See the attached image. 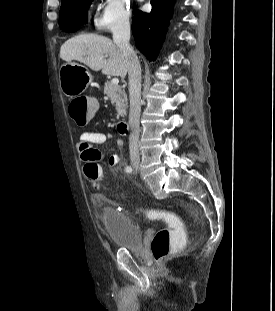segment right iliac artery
Instances as JSON below:
<instances>
[{"label":"right iliac artery","instance_id":"82829eb1","mask_svg":"<svg viewBox=\"0 0 275 311\" xmlns=\"http://www.w3.org/2000/svg\"><path fill=\"white\" fill-rule=\"evenodd\" d=\"M132 170H133V169H132V167H131V166H127V167H126V172H127V173H131V172H132Z\"/></svg>","mask_w":275,"mask_h":311}]
</instances>
